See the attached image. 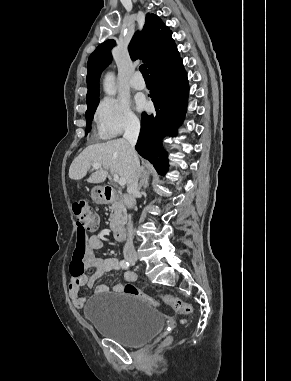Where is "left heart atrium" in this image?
<instances>
[{"label":"left heart atrium","instance_id":"1","mask_svg":"<svg viewBox=\"0 0 291 381\" xmlns=\"http://www.w3.org/2000/svg\"><path fill=\"white\" fill-rule=\"evenodd\" d=\"M137 106H138L139 109H143V108L146 107V103L143 100L140 99V100L137 101Z\"/></svg>","mask_w":291,"mask_h":381}]
</instances>
